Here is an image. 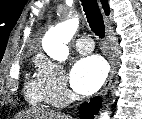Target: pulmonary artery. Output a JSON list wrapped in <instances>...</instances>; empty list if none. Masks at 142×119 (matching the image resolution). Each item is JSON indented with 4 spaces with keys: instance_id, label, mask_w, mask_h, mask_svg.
<instances>
[{
    "instance_id": "e3ab8cb5",
    "label": "pulmonary artery",
    "mask_w": 142,
    "mask_h": 119,
    "mask_svg": "<svg viewBox=\"0 0 142 119\" xmlns=\"http://www.w3.org/2000/svg\"><path fill=\"white\" fill-rule=\"evenodd\" d=\"M75 47L79 53L87 54L93 51L94 42L89 37H82L76 41Z\"/></svg>"
}]
</instances>
